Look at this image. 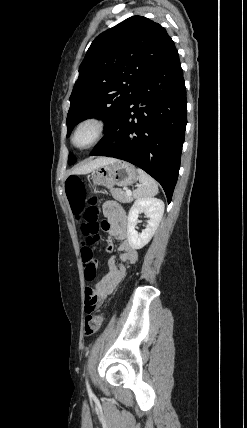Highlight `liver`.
<instances>
[{
	"label": "liver",
	"instance_id": "1",
	"mask_svg": "<svg viewBox=\"0 0 247 428\" xmlns=\"http://www.w3.org/2000/svg\"><path fill=\"white\" fill-rule=\"evenodd\" d=\"M117 161L114 158L109 157H100L96 158L94 160H91L90 162L85 163L84 165L76 168L73 172L79 173V174H87L92 172L93 170L97 169L98 167H101L106 164H110Z\"/></svg>",
	"mask_w": 247,
	"mask_h": 428
}]
</instances>
